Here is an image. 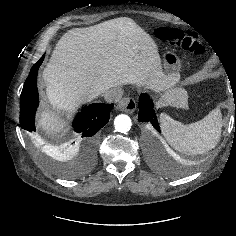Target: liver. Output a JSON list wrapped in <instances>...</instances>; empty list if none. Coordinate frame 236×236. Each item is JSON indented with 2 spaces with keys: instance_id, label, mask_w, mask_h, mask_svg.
<instances>
[{
  "instance_id": "liver-1",
  "label": "liver",
  "mask_w": 236,
  "mask_h": 236,
  "mask_svg": "<svg viewBox=\"0 0 236 236\" xmlns=\"http://www.w3.org/2000/svg\"><path fill=\"white\" fill-rule=\"evenodd\" d=\"M46 98L52 109L43 110L38 126L49 134L61 132L67 118L85 102L125 84L165 91L162 103L187 107L181 90L162 70L154 40L135 21L120 17L66 32L56 44L43 72Z\"/></svg>"
}]
</instances>
